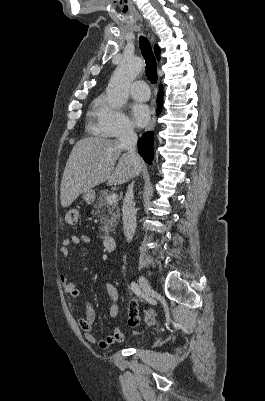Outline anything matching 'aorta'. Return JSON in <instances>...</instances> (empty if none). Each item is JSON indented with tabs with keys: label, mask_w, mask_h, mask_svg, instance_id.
<instances>
[{
	"label": "aorta",
	"mask_w": 265,
	"mask_h": 401,
	"mask_svg": "<svg viewBox=\"0 0 265 401\" xmlns=\"http://www.w3.org/2000/svg\"><path fill=\"white\" fill-rule=\"evenodd\" d=\"M143 62L141 58L123 60L113 72L106 88L108 102L114 108L124 106L129 96V84L141 72Z\"/></svg>",
	"instance_id": "aorta-1"
}]
</instances>
